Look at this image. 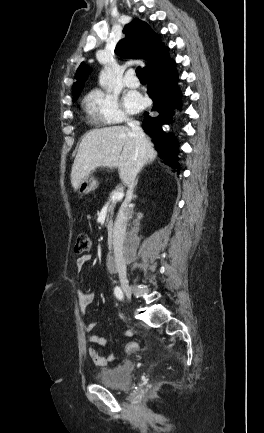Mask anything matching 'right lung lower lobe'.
Instances as JSON below:
<instances>
[{
	"instance_id": "98d812e1",
	"label": "right lung lower lobe",
	"mask_w": 264,
	"mask_h": 433,
	"mask_svg": "<svg viewBox=\"0 0 264 433\" xmlns=\"http://www.w3.org/2000/svg\"><path fill=\"white\" fill-rule=\"evenodd\" d=\"M148 80L147 93L154 105V115L145 112L142 128L156 143L161 157L179 173L177 162V142L173 135L163 131L162 125L172 123V113L180 105L181 93L177 87L178 74L173 59L148 69L145 73Z\"/></svg>"
}]
</instances>
